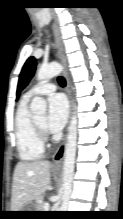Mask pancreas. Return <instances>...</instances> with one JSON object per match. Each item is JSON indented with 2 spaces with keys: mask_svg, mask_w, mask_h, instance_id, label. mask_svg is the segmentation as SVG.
<instances>
[{
  "mask_svg": "<svg viewBox=\"0 0 123 219\" xmlns=\"http://www.w3.org/2000/svg\"><path fill=\"white\" fill-rule=\"evenodd\" d=\"M43 206H44V203L41 201V197L36 199V201H35V208H37L36 210L37 211H44Z\"/></svg>",
  "mask_w": 123,
  "mask_h": 219,
  "instance_id": "1",
  "label": "pancreas"
}]
</instances>
